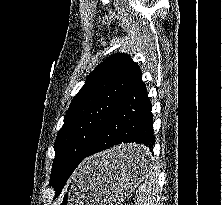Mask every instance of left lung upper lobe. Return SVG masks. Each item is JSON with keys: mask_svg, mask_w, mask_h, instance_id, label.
<instances>
[{"mask_svg": "<svg viewBox=\"0 0 222 205\" xmlns=\"http://www.w3.org/2000/svg\"><path fill=\"white\" fill-rule=\"evenodd\" d=\"M139 66L129 55L117 53L97 66L73 98L54 144L51 186L66 176L60 164L67 155L82 156L91 146L108 113L132 81Z\"/></svg>", "mask_w": 222, "mask_h": 205, "instance_id": "5c2ea615", "label": "left lung upper lobe"}]
</instances>
